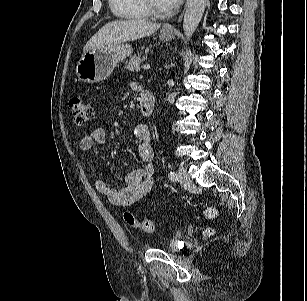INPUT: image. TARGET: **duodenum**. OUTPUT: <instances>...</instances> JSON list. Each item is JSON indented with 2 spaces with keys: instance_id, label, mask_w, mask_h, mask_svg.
Here are the masks:
<instances>
[{
  "instance_id": "obj_1",
  "label": "duodenum",
  "mask_w": 307,
  "mask_h": 301,
  "mask_svg": "<svg viewBox=\"0 0 307 301\" xmlns=\"http://www.w3.org/2000/svg\"><path fill=\"white\" fill-rule=\"evenodd\" d=\"M139 95L141 113L144 116H150L155 106V98L153 93L148 90H141Z\"/></svg>"
}]
</instances>
